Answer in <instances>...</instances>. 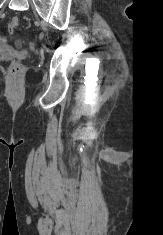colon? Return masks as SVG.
<instances>
[{"mask_svg": "<svg viewBox=\"0 0 163 235\" xmlns=\"http://www.w3.org/2000/svg\"><path fill=\"white\" fill-rule=\"evenodd\" d=\"M18 25H19V19L17 17H13L7 24L8 31L10 33H13L16 30V28L18 27ZM20 70H21L20 64L13 63V65L11 67L12 74H18V73H20Z\"/></svg>", "mask_w": 163, "mask_h": 235, "instance_id": "1", "label": "colon"}]
</instances>
